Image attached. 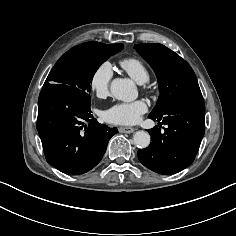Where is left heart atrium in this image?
<instances>
[{"label":"left heart atrium","instance_id":"obj_1","mask_svg":"<svg viewBox=\"0 0 236 236\" xmlns=\"http://www.w3.org/2000/svg\"><path fill=\"white\" fill-rule=\"evenodd\" d=\"M144 100L131 102H117L104 112V119L117 125H133L139 122L141 116L147 112Z\"/></svg>","mask_w":236,"mask_h":236}]
</instances>
